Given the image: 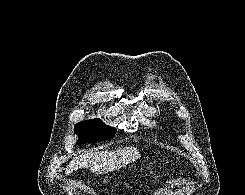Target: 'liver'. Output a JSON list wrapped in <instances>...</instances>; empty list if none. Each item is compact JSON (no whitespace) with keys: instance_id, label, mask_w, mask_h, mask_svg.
<instances>
[{"instance_id":"obj_1","label":"liver","mask_w":245,"mask_h":195,"mask_svg":"<svg viewBox=\"0 0 245 195\" xmlns=\"http://www.w3.org/2000/svg\"><path fill=\"white\" fill-rule=\"evenodd\" d=\"M140 157L134 146L119 147L114 151H96L74 157L67 165L65 174L69 175L79 168L87 167L96 174H104L126 166Z\"/></svg>"}]
</instances>
